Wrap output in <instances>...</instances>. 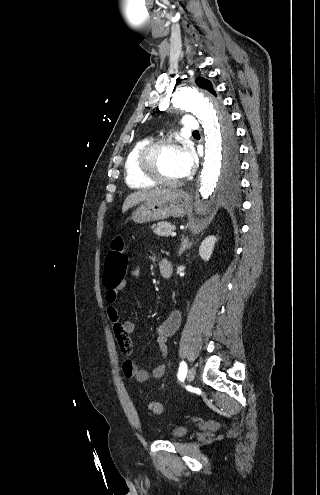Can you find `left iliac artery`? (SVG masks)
Segmentation results:
<instances>
[{"instance_id": "left-iliac-artery-1", "label": "left iliac artery", "mask_w": 320, "mask_h": 495, "mask_svg": "<svg viewBox=\"0 0 320 495\" xmlns=\"http://www.w3.org/2000/svg\"><path fill=\"white\" fill-rule=\"evenodd\" d=\"M186 373H187V365L184 361H182L179 367L178 378L179 379L185 378Z\"/></svg>"}]
</instances>
